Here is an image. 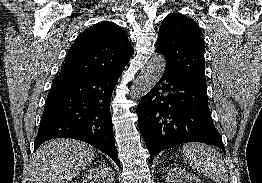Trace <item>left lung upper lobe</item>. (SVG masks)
Listing matches in <instances>:
<instances>
[{
  "instance_id": "left-lung-upper-lobe-1",
  "label": "left lung upper lobe",
  "mask_w": 262,
  "mask_h": 183,
  "mask_svg": "<svg viewBox=\"0 0 262 183\" xmlns=\"http://www.w3.org/2000/svg\"><path fill=\"white\" fill-rule=\"evenodd\" d=\"M202 31L179 13L169 14L161 23L156 51L166 59V69L206 86Z\"/></svg>"
}]
</instances>
